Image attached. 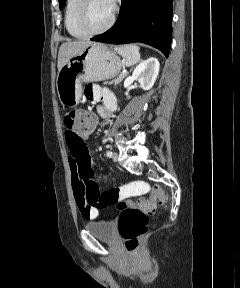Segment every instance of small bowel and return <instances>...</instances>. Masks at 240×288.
I'll return each mask as SVG.
<instances>
[{"mask_svg":"<svg viewBox=\"0 0 240 288\" xmlns=\"http://www.w3.org/2000/svg\"><path fill=\"white\" fill-rule=\"evenodd\" d=\"M84 96L87 100L98 104V113L104 119L108 118L116 108V97L106 88L87 85L84 88ZM88 135L89 133L77 137L66 132L65 138L71 152L69 166L74 198L82 216L85 219L92 220L98 217L99 208L88 204L87 193L89 191H99V188L93 180L94 162L84 141ZM134 184L131 183L118 188L122 198L133 194L131 188Z\"/></svg>","mask_w":240,"mask_h":288,"instance_id":"c3829d8e","label":"small bowel"}]
</instances>
